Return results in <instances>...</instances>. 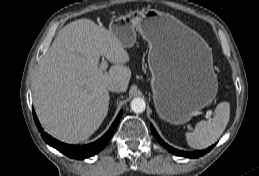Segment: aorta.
Instances as JSON below:
<instances>
[{"label":"aorta","instance_id":"762f6f07","mask_svg":"<svg viewBox=\"0 0 259 176\" xmlns=\"http://www.w3.org/2000/svg\"><path fill=\"white\" fill-rule=\"evenodd\" d=\"M130 107H131V110L134 112V113H142L145 111V108H146V103L144 101V99L140 98V97H137V98H134L131 103H130Z\"/></svg>","mask_w":259,"mask_h":176}]
</instances>
